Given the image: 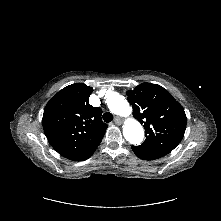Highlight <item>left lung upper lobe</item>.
<instances>
[{"instance_id": "obj_1", "label": "left lung upper lobe", "mask_w": 221, "mask_h": 221, "mask_svg": "<svg viewBox=\"0 0 221 221\" xmlns=\"http://www.w3.org/2000/svg\"><path fill=\"white\" fill-rule=\"evenodd\" d=\"M133 116L144 124L146 139L133 146L144 160H155L170 153L182 140L187 118L183 107L163 87L142 83L126 92Z\"/></svg>"}]
</instances>
